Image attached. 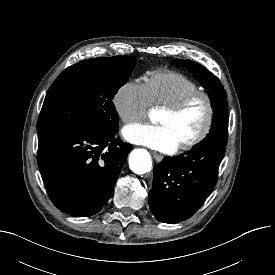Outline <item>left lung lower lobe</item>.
<instances>
[{"mask_svg": "<svg viewBox=\"0 0 275 275\" xmlns=\"http://www.w3.org/2000/svg\"><path fill=\"white\" fill-rule=\"evenodd\" d=\"M225 150L218 143L198 144L185 155L166 156L154 167L149 205L158 221H184L202 206L217 183Z\"/></svg>", "mask_w": 275, "mask_h": 275, "instance_id": "obj_1", "label": "left lung lower lobe"}]
</instances>
